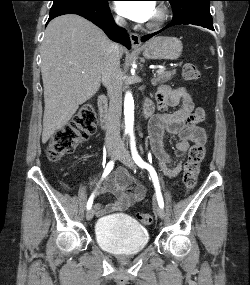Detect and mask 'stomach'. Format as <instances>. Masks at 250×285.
Here are the masks:
<instances>
[{"label": "stomach", "instance_id": "1", "mask_svg": "<svg viewBox=\"0 0 250 285\" xmlns=\"http://www.w3.org/2000/svg\"><path fill=\"white\" fill-rule=\"evenodd\" d=\"M182 49H183L182 42L178 38L158 36L148 41L138 51H141L146 59L176 60L180 57Z\"/></svg>", "mask_w": 250, "mask_h": 285}]
</instances>
